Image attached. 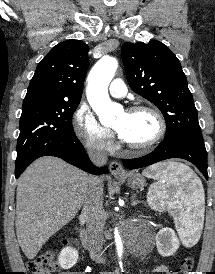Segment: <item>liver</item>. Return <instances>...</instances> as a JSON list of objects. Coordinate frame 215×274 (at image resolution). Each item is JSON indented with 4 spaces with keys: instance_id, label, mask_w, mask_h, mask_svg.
<instances>
[{
    "instance_id": "1",
    "label": "liver",
    "mask_w": 215,
    "mask_h": 274,
    "mask_svg": "<svg viewBox=\"0 0 215 274\" xmlns=\"http://www.w3.org/2000/svg\"><path fill=\"white\" fill-rule=\"evenodd\" d=\"M89 175L55 157L35 160L20 176L16 192V235L28 259L69 223L85 199Z\"/></svg>"
}]
</instances>
